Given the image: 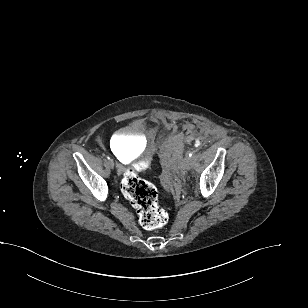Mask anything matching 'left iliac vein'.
I'll return each instance as SVG.
<instances>
[{"label": "left iliac vein", "mask_w": 308, "mask_h": 308, "mask_svg": "<svg viewBox=\"0 0 308 308\" xmlns=\"http://www.w3.org/2000/svg\"><path fill=\"white\" fill-rule=\"evenodd\" d=\"M192 164V159L188 156H186L182 161H181V169L183 170H189L191 168Z\"/></svg>", "instance_id": "1"}]
</instances>
